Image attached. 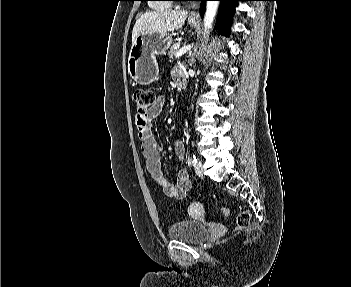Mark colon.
Segmentation results:
<instances>
[{"label":"colon","instance_id":"colon-1","mask_svg":"<svg viewBox=\"0 0 351 287\" xmlns=\"http://www.w3.org/2000/svg\"><path fill=\"white\" fill-rule=\"evenodd\" d=\"M155 94L148 89H136L132 94V100L136 105V111L138 115H146L149 109L155 102ZM221 214L223 216L229 215V209L227 207L222 208ZM250 222V213L247 210H242L237 215V225L240 228L247 226Z\"/></svg>","mask_w":351,"mask_h":287}]
</instances>
